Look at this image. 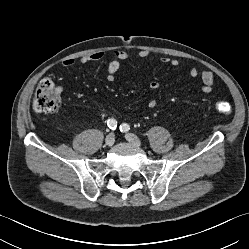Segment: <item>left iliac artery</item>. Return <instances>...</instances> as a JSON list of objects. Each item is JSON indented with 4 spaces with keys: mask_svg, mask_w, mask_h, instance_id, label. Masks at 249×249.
Here are the masks:
<instances>
[{
    "mask_svg": "<svg viewBox=\"0 0 249 249\" xmlns=\"http://www.w3.org/2000/svg\"><path fill=\"white\" fill-rule=\"evenodd\" d=\"M120 130L121 132H128L130 130V126L126 123H123L121 126H120Z\"/></svg>",
    "mask_w": 249,
    "mask_h": 249,
    "instance_id": "obj_1",
    "label": "left iliac artery"
}]
</instances>
